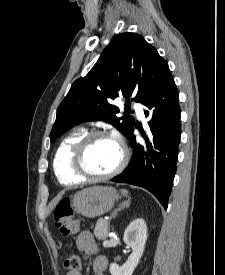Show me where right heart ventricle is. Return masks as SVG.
Listing matches in <instances>:
<instances>
[{
    "label": "right heart ventricle",
    "instance_id": "obj_1",
    "mask_svg": "<svg viewBox=\"0 0 225 275\" xmlns=\"http://www.w3.org/2000/svg\"><path fill=\"white\" fill-rule=\"evenodd\" d=\"M86 134L84 129H77L60 142L53 160L57 180L64 185H74L84 180L77 176L71 167V156L77 142Z\"/></svg>",
    "mask_w": 225,
    "mask_h": 275
}]
</instances>
